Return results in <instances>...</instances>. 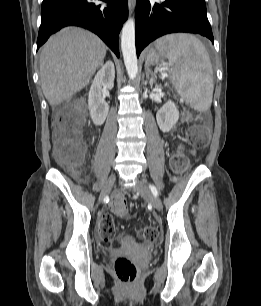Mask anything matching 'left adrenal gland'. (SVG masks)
<instances>
[{
	"label": "left adrenal gland",
	"instance_id": "1",
	"mask_svg": "<svg viewBox=\"0 0 261 306\" xmlns=\"http://www.w3.org/2000/svg\"><path fill=\"white\" fill-rule=\"evenodd\" d=\"M145 75H146V79L147 81H149V84L153 85V83L155 82V73L150 69L149 65L148 64H145ZM151 76V78H150Z\"/></svg>",
	"mask_w": 261,
	"mask_h": 306
}]
</instances>
